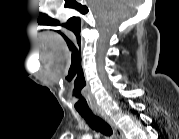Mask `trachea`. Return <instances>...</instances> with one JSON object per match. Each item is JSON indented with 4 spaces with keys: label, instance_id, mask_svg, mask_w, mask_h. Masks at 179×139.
I'll use <instances>...</instances> for the list:
<instances>
[{
    "label": "trachea",
    "instance_id": "1",
    "mask_svg": "<svg viewBox=\"0 0 179 139\" xmlns=\"http://www.w3.org/2000/svg\"><path fill=\"white\" fill-rule=\"evenodd\" d=\"M79 114L85 119L88 125L93 129L105 136H110L113 134L111 126L105 122L102 118L93 114V112H81Z\"/></svg>",
    "mask_w": 179,
    "mask_h": 139
}]
</instances>
